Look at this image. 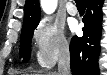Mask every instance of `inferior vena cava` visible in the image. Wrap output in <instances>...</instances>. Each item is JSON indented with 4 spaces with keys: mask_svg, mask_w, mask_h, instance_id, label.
<instances>
[{
    "mask_svg": "<svg viewBox=\"0 0 107 75\" xmlns=\"http://www.w3.org/2000/svg\"><path fill=\"white\" fill-rule=\"evenodd\" d=\"M58 75H71V70H70V51L69 47L65 46L59 57V62H58Z\"/></svg>",
    "mask_w": 107,
    "mask_h": 75,
    "instance_id": "602c4592",
    "label": "inferior vena cava"
}]
</instances>
